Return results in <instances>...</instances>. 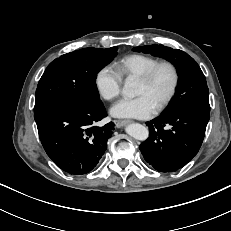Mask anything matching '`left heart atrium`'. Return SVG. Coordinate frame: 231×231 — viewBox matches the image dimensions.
Segmentation results:
<instances>
[{
    "instance_id": "obj_1",
    "label": "left heart atrium",
    "mask_w": 231,
    "mask_h": 231,
    "mask_svg": "<svg viewBox=\"0 0 231 231\" xmlns=\"http://www.w3.org/2000/svg\"><path fill=\"white\" fill-rule=\"evenodd\" d=\"M156 107L145 95L134 98H123L111 108V114L118 118L146 119L151 117Z\"/></svg>"
}]
</instances>
